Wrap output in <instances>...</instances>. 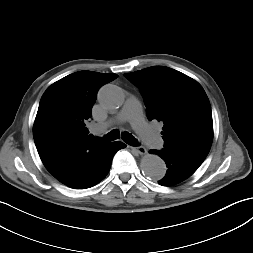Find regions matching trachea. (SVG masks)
<instances>
[{"instance_id": "trachea-1", "label": "trachea", "mask_w": 253, "mask_h": 253, "mask_svg": "<svg viewBox=\"0 0 253 253\" xmlns=\"http://www.w3.org/2000/svg\"><path fill=\"white\" fill-rule=\"evenodd\" d=\"M119 134L120 133L117 129L112 130L106 136L103 137L102 141L110 142V141L116 140L119 137ZM122 139L124 140V142H126L127 144L131 146H139L138 141L135 139V137L131 133L124 132L122 134Z\"/></svg>"}]
</instances>
